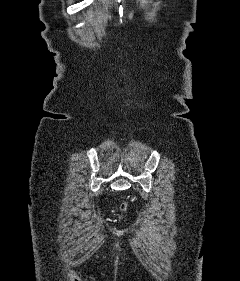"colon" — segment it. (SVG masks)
Returning <instances> with one entry per match:
<instances>
[{"mask_svg":"<svg viewBox=\"0 0 240 281\" xmlns=\"http://www.w3.org/2000/svg\"><path fill=\"white\" fill-rule=\"evenodd\" d=\"M127 208H128V203H127V202H123V203L121 204V207H120V209H121V215H123V214L127 211Z\"/></svg>","mask_w":240,"mask_h":281,"instance_id":"1","label":"colon"}]
</instances>
